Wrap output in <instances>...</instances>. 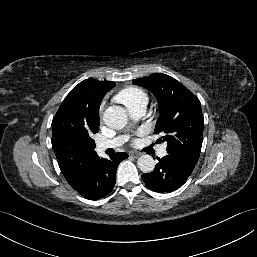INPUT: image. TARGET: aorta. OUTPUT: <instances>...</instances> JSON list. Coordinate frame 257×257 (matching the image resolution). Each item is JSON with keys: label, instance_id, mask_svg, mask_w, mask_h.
Wrapping results in <instances>:
<instances>
[{"label": "aorta", "instance_id": "762f6f07", "mask_svg": "<svg viewBox=\"0 0 257 257\" xmlns=\"http://www.w3.org/2000/svg\"><path fill=\"white\" fill-rule=\"evenodd\" d=\"M128 116L126 110L121 106H110L103 114L106 126L112 129H122L127 124ZM139 169L144 173H150L155 168V161L150 155H142L137 161Z\"/></svg>", "mask_w": 257, "mask_h": 257}]
</instances>
